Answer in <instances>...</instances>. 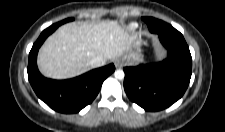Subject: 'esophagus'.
I'll list each match as a JSON object with an SVG mask.
<instances>
[{
	"label": "esophagus",
	"instance_id": "obj_1",
	"mask_svg": "<svg viewBox=\"0 0 225 132\" xmlns=\"http://www.w3.org/2000/svg\"><path fill=\"white\" fill-rule=\"evenodd\" d=\"M122 65H123V63H122V60H121V59H116V60H115V66H116V67L119 68V67H121Z\"/></svg>",
	"mask_w": 225,
	"mask_h": 132
}]
</instances>
